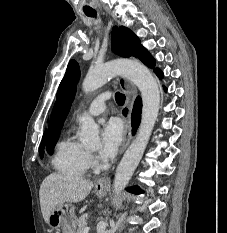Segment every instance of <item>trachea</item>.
<instances>
[{
    "label": "trachea",
    "mask_w": 227,
    "mask_h": 233,
    "mask_svg": "<svg viewBox=\"0 0 227 233\" xmlns=\"http://www.w3.org/2000/svg\"><path fill=\"white\" fill-rule=\"evenodd\" d=\"M85 14L89 17H96L95 11H87V12H85ZM115 100H116L118 105H123L125 102V95L120 93V92H117L115 94Z\"/></svg>",
    "instance_id": "3493384b"
}]
</instances>
